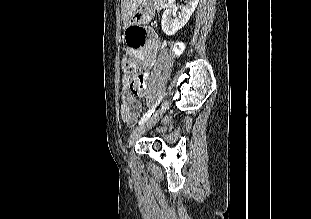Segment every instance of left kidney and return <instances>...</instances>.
Returning <instances> with one entry per match:
<instances>
[{
    "instance_id": "1",
    "label": "left kidney",
    "mask_w": 311,
    "mask_h": 219,
    "mask_svg": "<svg viewBox=\"0 0 311 219\" xmlns=\"http://www.w3.org/2000/svg\"><path fill=\"white\" fill-rule=\"evenodd\" d=\"M174 0H168L172 3ZM199 0H186V5L182 7L181 12L174 13L172 9H166L162 15V30L166 35H173L180 30L189 21L192 13L195 11Z\"/></svg>"
}]
</instances>
